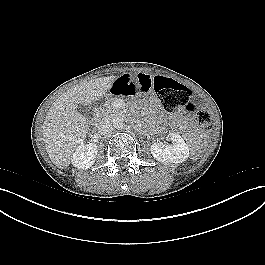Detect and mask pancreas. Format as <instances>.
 I'll list each match as a JSON object with an SVG mask.
<instances>
[{"label": "pancreas", "mask_w": 265, "mask_h": 265, "mask_svg": "<svg viewBox=\"0 0 265 265\" xmlns=\"http://www.w3.org/2000/svg\"><path fill=\"white\" fill-rule=\"evenodd\" d=\"M115 99L110 100L104 108L101 109V114L104 117H111L115 114H118L121 112V109L118 107H115ZM117 116V115H115Z\"/></svg>", "instance_id": "obj_1"}]
</instances>
